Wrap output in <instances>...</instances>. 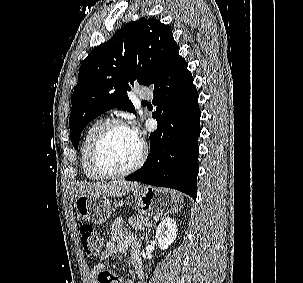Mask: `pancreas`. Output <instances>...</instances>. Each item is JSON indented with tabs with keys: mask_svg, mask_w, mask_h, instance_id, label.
I'll return each mask as SVG.
<instances>
[{
	"mask_svg": "<svg viewBox=\"0 0 303 283\" xmlns=\"http://www.w3.org/2000/svg\"><path fill=\"white\" fill-rule=\"evenodd\" d=\"M149 222L150 220L148 217L141 215H136L128 219V224L135 230H146Z\"/></svg>",
	"mask_w": 303,
	"mask_h": 283,
	"instance_id": "obj_1",
	"label": "pancreas"
}]
</instances>
